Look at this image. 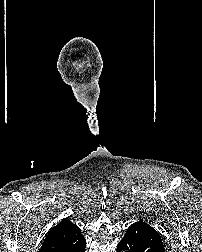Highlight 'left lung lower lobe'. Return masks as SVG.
<instances>
[{
    "label": "left lung lower lobe",
    "instance_id": "left-lung-lower-lobe-1",
    "mask_svg": "<svg viewBox=\"0 0 202 252\" xmlns=\"http://www.w3.org/2000/svg\"><path fill=\"white\" fill-rule=\"evenodd\" d=\"M165 252L159 233L143 221L132 224L117 245V252Z\"/></svg>",
    "mask_w": 202,
    "mask_h": 252
}]
</instances>
